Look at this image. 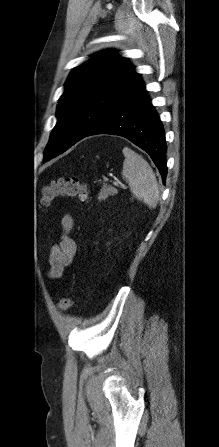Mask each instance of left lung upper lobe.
I'll return each mask as SVG.
<instances>
[{
  "label": "left lung upper lobe",
  "instance_id": "left-lung-upper-lobe-1",
  "mask_svg": "<svg viewBox=\"0 0 219 447\" xmlns=\"http://www.w3.org/2000/svg\"><path fill=\"white\" fill-rule=\"evenodd\" d=\"M105 51L78 66L59 99L57 123L44 151V161L83 139L137 81L126 58Z\"/></svg>",
  "mask_w": 219,
  "mask_h": 447
}]
</instances>
